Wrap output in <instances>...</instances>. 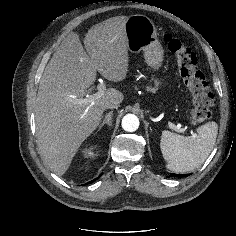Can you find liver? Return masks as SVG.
<instances>
[{"instance_id":"obj_1","label":"liver","mask_w":236,"mask_h":236,"mask_svg":"<svg viewBox=\"0 0 236 236\" xmlns=\"http://www.w3.org/2000/svg\"><path fill=\"white\" fill-rule=\"evenodd\" d=\"M127 16L109 18L86 33L84 50L71 32L47 64L40 80L36 106V133L41 154L58 176L69 168L81 144L99 125L108 103L120 104L123 94L109 88L94 103H78L95 82L97 71L120 82L128 73Z\"/></svg>"}]
</instances>
